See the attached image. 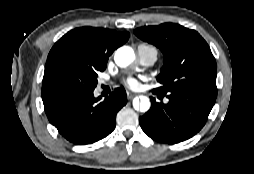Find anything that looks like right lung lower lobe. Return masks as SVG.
<instances>
[{"instance_id":"1","label":"right lung lower lobe","mask_w":254,"mask_h":174,"mask_svg":"<svg viewBox=\"0 0 254 174\" xmlns=\"http://www.w3.org/2000/svg\"><path fill=\"white\" fill-rule=\"evenodd\" d=\"M92 91L74 92L43 100L46 115L52 125L68 141L91 144L108 134L116 125L118 111L127 103L126 92L115 89L99 102Z\"/></svg>"}]
</instances>
